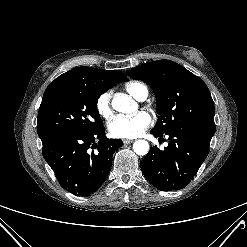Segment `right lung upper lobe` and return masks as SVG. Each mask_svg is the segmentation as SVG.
I'll list each match as a JSON object with an SVG mask.
<instances>
[{"label": "right lung upper lobe", "instance_id": "obj_1", "mask_svg": "<svg viewBox=\"0 0 247 247\" xmlns=\"http://www.w3.org/2000/svg\"><path fill=\"white\" fill-rule=\"evenodd\" d=\"M126 80L127 76L121 71H105L91 67H77L60 75L51 82L45 90L43 97L54 93L58 89L73 85H95L108 90Z\"/></svg>", "mask_w": 247, "mask_h": 247}]
</instances>
